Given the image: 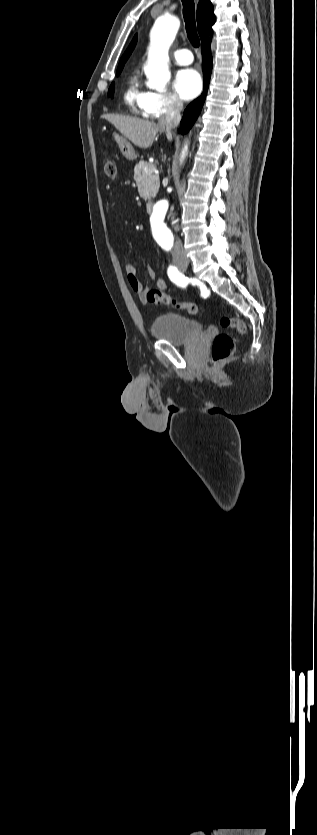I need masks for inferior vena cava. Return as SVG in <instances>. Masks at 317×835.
Masks as SVG:
<instances>
[{"instance_id": "obj_1", "label": "inferior vena cava", "mask_w": 317, "mask_h": 835, "mask_svg": "<svg viewBox=\"0 0 317 835\" xmlns=\"http://www.w3.org/2000/svg\"><path fill=\"white\" fill-rule=\"evenodd\" d=\"M182 109V102L178 101L177 99H174L168 107L167 112L159 119V126L165 130L168 140H172L171 129L178 126L181 120L180 112L182 111ZM172 256L174 260H177L185 256L183 245L178 238H176L175 240Z\"/></svg>"}]
</instances>
